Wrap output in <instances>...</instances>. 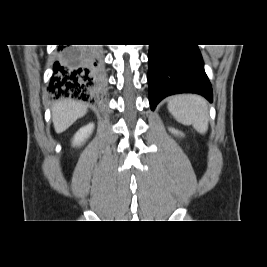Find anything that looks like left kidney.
Here are the masks:
<instances>
[{
  "instance_id": "left-kidney-1",
  "label": "left kidney",
  "mask_w": 267,
  "mask_h": 267,
  "mask_svg": "<svg viewBox=\"0 0 267 267\" xmlns=\"http://www.w3.org/2000/svg\"><path fill=\"white\" fill-rule=\"evenodd\" d=\"M170 131L173 133V134H176V135H183L181 132H179L178 130H175V129H170Z\"/></svg>"
}]
</instances>
